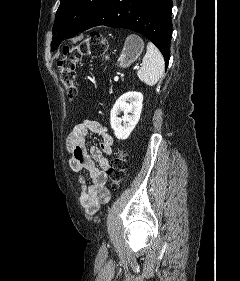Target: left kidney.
<instances>
[{
	"label": "left kidney",
	"instance_id": "left-kidney-1",
	"mask_svg": "<svg viewBox=\"0 0 240 281\" xmlns=\"http://www.w3.org/2000/svg\"><path fill=\"white\" fill-rule=\"evenodd\" d=\"M142 102V93L135 91L124 93L117 99L110 113V124L117 139L129 137L140 119ZM120 112L124 113L122 118L118 117Z\"/></svg>",
	"mask_w": 240,
	"mask_h": 281
}]
</instances>
